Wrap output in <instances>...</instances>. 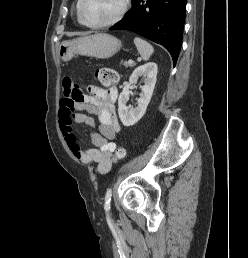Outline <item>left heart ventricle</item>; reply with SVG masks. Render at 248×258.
I'll return each mask as SVG.
<instances>
[{
	"label": "left heart ventricle",
	"mask_w": 248,
	"mask_h": 258,
	"mask_svg": "<svg viewBox=\"0 0 248 258\" xmlns=\"http://www.w3.org/2000/svg\"><path fill=\"white\" fill-rule=\"evenodd\" d=\"M121 0H84L83 14L91 23L109 20L119 11Z\"/></svg>",
	"instance_id": "b2bd125f"
}]
</instances>
